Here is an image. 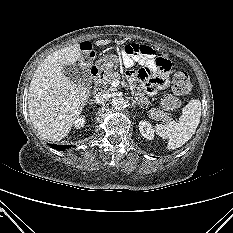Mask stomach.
I'll return each mask as SVG.
<instances>
[{"instance_id":"0dacf381","label":"stomach","mask_w":233,"mask_h":233,"mask_svg":"<svg viewBox=\"0 0 233 233\" xmlns=\"http://www.w3.org/2000/svg\"><path fill=\"white\" fill-rule=\"evenodd\" d=\"M121 59L116 55H107L101 59H99L96 63L97 68L106 73H112L119 66Z\"/></svg>"}]
</instances>
